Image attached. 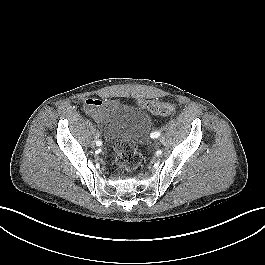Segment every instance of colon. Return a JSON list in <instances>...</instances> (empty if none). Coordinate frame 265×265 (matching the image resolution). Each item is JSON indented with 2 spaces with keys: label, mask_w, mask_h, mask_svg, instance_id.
<instances>
[{
  "label": "colon",
  "mask_w": 265,
  "mask_h": 265,
  "mask_svg": "<svg viewBox=\"0 0 265 265\" xmlns=\"http://www.w3.org/2000/svg\"><path fill=\"white\" fill-rule=\"evenodd\" d=\"M138 104L141 108L157 115H169L174 111V105L172 103L141 100ZM115 151L116 163L123 169L133 170L142 161V155L139 153L136 144L132 141L116 142Z\"/></svg>",
  "instance_id": "colon-1"
}]
</instances>
